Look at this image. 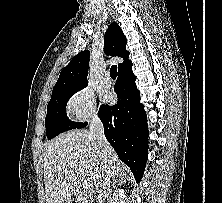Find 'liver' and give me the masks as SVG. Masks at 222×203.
Instances as JSON below:
<instances>
[{
	"label": "liver",
	"instance_id": "6515ba94",
	"mask_svg": "<svg viewBox=\"0 0 222 203\" xmlns=\"http://www.w3.org/2000/svg\"><path fill=\"white\" fill-rule=\"evenodd\" d=\"M42 156L45 203H62L79 191L83 180L89 183L90 195H96L107 178L124 175L114 150L111 148L109 161L104 160L88 130H72L57 136L45 143Z\"/></svg>",
	"mask_w": 222,
	"mask_h": 203
}]
</instances>
